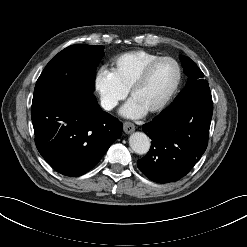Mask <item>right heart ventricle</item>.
I'll list each match as a JSON object with an SVG mask.
<instances>
[{
  "label": "right heart ventricle",
  "mask_w": 247,
  "mask_h": 247,
  "mask_svg": "<svg viewBox=\"0 0 247 247\" xmlns=\"http://www.w3.org/2000/svg\"><path fill=\"white\" fill-rule=\"evenodd\" d=\"M158 57L145 50L126 52L113 60L111 74L117 83L128 91L143 68Z\"/></svg>",
  "instance_id": "e07e8e85"
}]
</instances>
